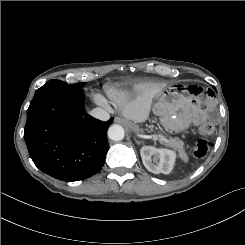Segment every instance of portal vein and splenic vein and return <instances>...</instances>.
Returning a JSON list of instances; mask_svg holds the SVG:
<instances>
[{
    "mask_svg": "<svg viewBox=\"0 0 245 245\" xmlns=\"http://www.w3.org/2000/svg\"><path fill=\"white\" fill-rule=\"evenodd\" d=\"M155 138L158 139V140H160V141H165V142L167 141V139L164 138V137L155 136Z\"/></svg>",
    "mask_w": 245,
    "mask_h": 245,
    "instance_id": "obj_1",
    "label": "portal vein and splenic vein"
}]
</instances>
